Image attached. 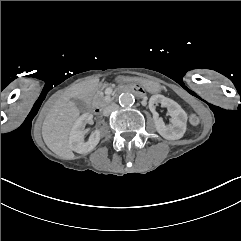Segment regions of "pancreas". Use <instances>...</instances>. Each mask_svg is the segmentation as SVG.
Segmentation results:
<instances>
[{
    "instance_id": "1",
    "label": "pancreas",
    "mask_w": 241,
    "mask_h": 241,
    "mask_svg": "<svg viewBox=\"0 0 241 241\" xmlns=\"http://www.w3.org/2000/svg\"><path fill=\"white\" fill-rule=\"evenodd\" d=\"M97 97L101 100L100 102H98L97 104H99L100 106H106L110 103L109 100L105 99L104 93L102 90L98 91Z\"/></svg>"
}]
</instances>
